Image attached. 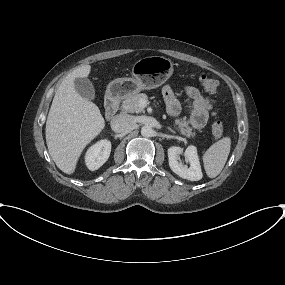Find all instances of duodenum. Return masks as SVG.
Returning <instances> with one entry per match:
<instances>
[{
  "label": "duodenum",
  "instance_id": "duodenum-1",
  "mask_svg": "<svg viewBox=\"0 0 285 285\" xmlns=\"http://www.w3.org/2000/svg\"><path fill=\"white\" fill-rule=\"evenodd\" d=\"M120 100L114 92H109L105 99V117L110 120L119 109Z\"/></svg>",
  "mask_w": 285,
  "mask_h": 285
}]
</instances>
